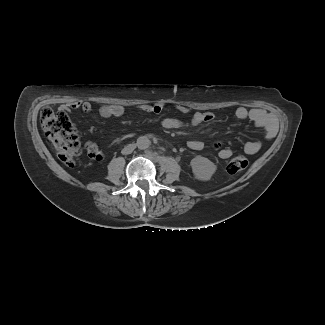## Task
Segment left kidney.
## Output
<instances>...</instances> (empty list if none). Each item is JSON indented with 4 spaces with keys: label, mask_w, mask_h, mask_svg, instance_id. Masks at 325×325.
<instances>
[{
    "label": "left kidney",
    "mask_w": 325,
    "mask_h": 325,
    "mask_svg": "<svg viewBox=\"0 0 325 325\" xmlns=\"http://www.w3.org/2000/svg\"><path fill=\"white\" fill-rule=\"evenodd\" d=\"M190 165L195 178L201 181L210 180L217 169L212 161L202 156L194 157Z\"/></svg>",
    "instance_id": "5707ae66"
}]
</instances>
